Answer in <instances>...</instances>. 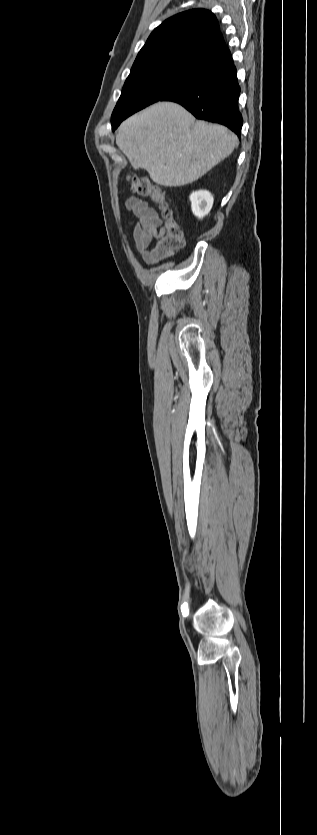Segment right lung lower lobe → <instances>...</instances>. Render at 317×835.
I'll list each match as a JSON object with an SVG mask.
<instances>
[{
  "instance_id": "obj_1",
  "label": "right lung lower lobe",
  "mask_w": 317,
  "mask_h": 835,
  "mask_svg": "<svg viewBox=\"0 0 317 835\" xmlns=\"http://www.w3.org/2000/svg\"><path fill=\"white\" fill-rule=\"evenodd\" d=\"M190 58L206 74V78L174 92L163 101L179 103L197 119L222 124L240 138L243 125L238 111L240 87L228 47L224 45Z\"/></svg>"
}]
</instances>
